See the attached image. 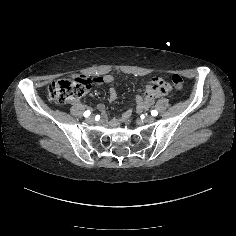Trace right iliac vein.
<instances>
[{"label":"right iliac vein","mask_w":236,"mask_h":236,"mask_svg":"<svg viewBox=\"0 0 236 236\" xmlns=\"http://www.w3.org/2000/svg\"><path fill=\"white\" fill-rule=\"evenodd\" d=\"M87 122H88V123L94 122V117H93V116H89V117L87 118Z\"/></svg>","instance_id":"obj_1"}]
</instances>
